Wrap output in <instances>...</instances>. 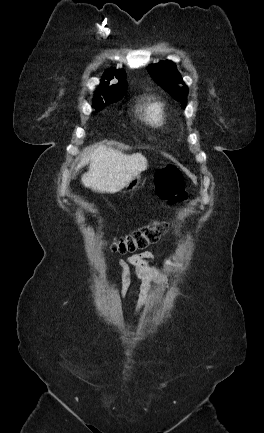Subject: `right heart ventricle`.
<instances>
[{
  "label": "right heart ventricle",
  "instance_id": "1",
  "mask_svg": "<svg viewBox=\"0 0 264 433\" xmlns=\"http://www.w3.org/2000/svg\"><path fill=\"white\" fill-rule=\"evenodd\" d=\"M142 120L160 130H166L170 127V118L165 105L154 99H144L138 108Z\"/></svg>",
  "mask_w": 264,
  "mask_h": 433
}]
</instances>
